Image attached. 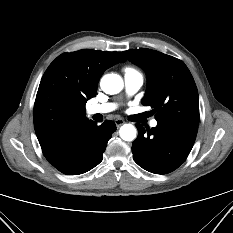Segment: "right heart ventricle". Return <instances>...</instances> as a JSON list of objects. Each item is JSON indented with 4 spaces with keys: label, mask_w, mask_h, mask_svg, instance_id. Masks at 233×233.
<instances>
[{
    "label": "right heart ventricle",
    "mask_w": 233,
    "mask_h": 233,
    "mask_svg": "<svg viewBox=\"0 0 233 233\" xmlns=\"http://www.w3.org/2000/svg\"><path fill=\"white\" fill-rule=\"evenodd\" d=\"M124 71H125V75H128V74H139V72L135 68H133L131 66L126 67L124 69Z\"/></svg>",
    "instance_id": "right-heart-ventricle-1"
}]
</instances>
